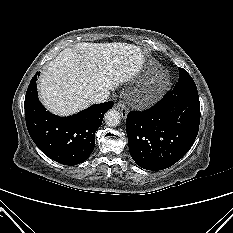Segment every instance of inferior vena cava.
<instances>
[{
	"label": "inferior vena cava",
	"instance_id": "602c4592",
	"mask_svg": "<svg viewBox=\"0 0 233 233\" xmlns=\"http://www.w3.org/2000/svg\"><path fill=\"white\" fill-rule=\"evenodd\" d=\"M109 96H110V91L107 90V89L103 90V91L93 95L92 102H94V103H103V102L107 101Z\"/></svg>",
	"mask_w": 233,
	"mask_h": 233
}]
</instances>
